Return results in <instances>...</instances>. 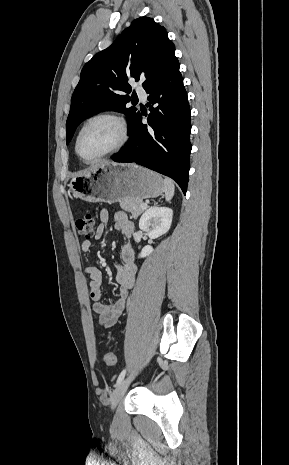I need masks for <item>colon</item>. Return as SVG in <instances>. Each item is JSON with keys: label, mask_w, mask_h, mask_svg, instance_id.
<instances>
[{"label": "colon", "mask_w": 289, "mask_h": 465, "mask_svg": "<svg viewBox=\"0 0 289 465\" xmlns=\"http://www.w3.org/2000/svg\"><path fill=\"white\" fill-rule=\"evenodd\" d=\"M75 225L77 232L85 238L89 239L94 236L95 219L90 212H87L77 218ZM104 361L107 365L113 366L116 363L115 354L113 352L106 353L104 356Z\"/></svg>", "instance_id": "5ec220e1"}]
</instances>
